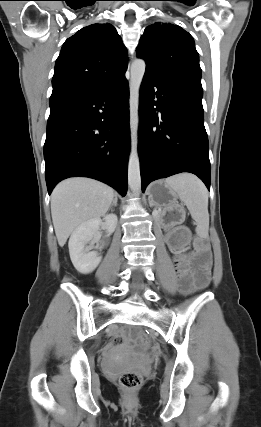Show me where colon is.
I'll list each match as a JSON object with an SVG mask.
<instances>
[{"mask_svg": "<svg viewBox=\"0 0 261 427\" xmlns=\"http://www.w3.org/2000/svg\"><path fill=\"white\" fill-rule=\"evenodd\" d=\"M134 339L141 348L145 349L148 347V340L144 335L136 333ZM142 382L143 377L137 372H127L122 374L119 378L120 387L127 392L136 391L141 386Z\"/></svg>", "mask_w": 261, "mask_h": 427, "instance_id": "obj_1", "label": "colon"}]
</instances>
